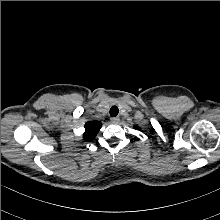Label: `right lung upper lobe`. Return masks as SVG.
I'll use <instances>...</instances> for the list:
<instances>
[{
    "instance_id": "obj_1",
    "label": "right lung upper lobe",
    "mask_w": 220,
    "mask_h": 220,
    "mask_svg": "<svg viewBox=\"0 0 220 220\" xmlns=\"http://www.w3.org/2000/svg\"><path fill=\"white\" fill-rule=\"evenodd\" d=\"M102 124L98 121H88L85 124V132L83 138L85 141H91L95 138L96 134L100 130Z\"/></svg>"
}]
</instances>
